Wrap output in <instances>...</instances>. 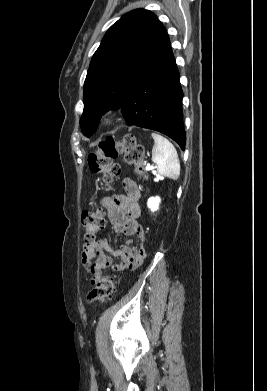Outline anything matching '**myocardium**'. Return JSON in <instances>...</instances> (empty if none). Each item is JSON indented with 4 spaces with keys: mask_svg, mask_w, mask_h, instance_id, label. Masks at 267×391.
I'll return each mask as SVG.
<instances>
[{
    "mask_svg": "<svg viewBox=\"0 0 267 391\" xmlns=\"http://www.w3.org/2000/svg\"><path fill=\"white\" fill-rule=\"evenodd\" d=\"M116 122V115L114 113H109L103 118V125L105 127H112Z\"/></svg>",
    "mask_w": 267,
    "mask_h": 391,
    "instance_id": "myocardium-1",
    "label": "myocardium"
}]
</instances>
